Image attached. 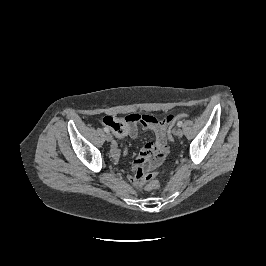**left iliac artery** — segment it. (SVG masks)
I'll use <instances>...</instances> for the list:
<instances>
[{"label":"left iliac artery","mask_w":266,"mask_h":266,"mask_svg":"<svg viewBox=\"0 0 266 266\" xmlns=\"http://www.w3.org/2000/svg\"><path fill=\"white\" fill-rule=\"evenodd\" d=\"M183 125L182 121H178L177 126L181 127Z\"/></svg>","instance_id":"44dca946"}]
</instances>
